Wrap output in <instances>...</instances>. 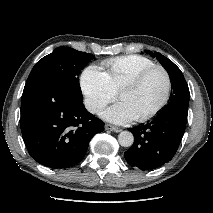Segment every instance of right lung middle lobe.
Masks as SVG:
<instances>
[{
    "instance_id": "dd1d6c3e",
    "label": "right lung middle lobe",
    "mask_w": 213,
    "mask_h": 213,
    "mask_svg": "<svg viewBox=\"0 0 213 213\" xmlns=\"http://www.w3.org/2000/svg\"><path fill=\"white\" fill-rule=\"evenodd\" d=\"M93 57L92 54L70 47H59L35 64L26 83L39 79L51 80L66 88L78 99H82L78 74Z\"/></svg>"
}]
</instances>
